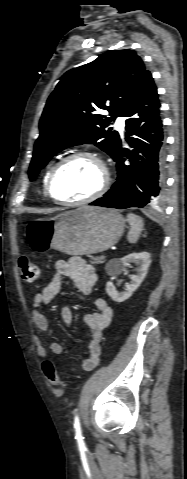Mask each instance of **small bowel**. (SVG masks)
I'll list each match as a JSON object with an SVG mask.
<instances>
[{
    "label": "small bowel",
    "mask_w": 187,
    "mask_h": 479,
    "mask_svg": "<svg viewBox=\"0 0 187 479\" xmlns=\"http://www.w3.org/2000/svg\"><path fill=\"white\" fill-rule=\"evenodd\" d=\"M63 278L71 279L80 293L88 295L96 283L97 275L94 267L80 257H71L56 262L52 280L40 292L35 294L29 311L35 326L44 333L46 338L50 336L49 324L46 316L41 311V307L55 300L60 292ZM94 305L95 311L85 316V332L89 338V344L88 356L81 366L83 371H91L98 365L101 354L100 342L102 334L113 317V310L105 299L96 298ZM61 318L65 324H72L73 312L70 304L62 307ZM34 342L38 356L45 359L44 365L46 361H49L47 360V350L39 336H35ZM49 348L53 354H61L63 352V345L56 341H52ZM71 371H75V369L71 368Z\"/></svg>",
    "instance_id": "1"
}]
</instances>
